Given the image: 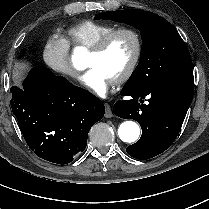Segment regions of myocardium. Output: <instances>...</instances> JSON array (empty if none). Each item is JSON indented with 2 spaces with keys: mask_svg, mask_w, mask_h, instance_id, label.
Masks as SVG:
<instances>
[{
  "mask_svg": "<svg viewBox=\"0 0 209 209\" xmlns=\"http://www.w3.org/2000/svg\"><path fill=\"white\" fill-rule=\"evenodd\" d=\"M119 34H128L130 35L135 43V50L131 61L124 70V72L116 79L117 84H122L126 82L134 73L143 53V39L140 33L131 27H120L115 28L104 37H102L96 44H94L89 50L92 54L101 55L103 54L112 40Z\"/></svg>",
  "mask_w": 209,
  "mask_h": 209,
  "instance_id": "f54148a6",
  "label": "myocardium"
}]
</instances>
